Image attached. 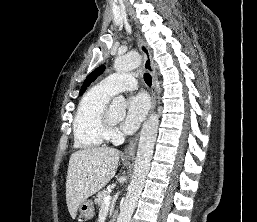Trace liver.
I'll use <instances>...</instances> for the list:
<instances>
[{
  "label": "liver",
  "instance_id": "6515ba94",
  "mask_svg": "<svg viewBox=\"0 0 257 222\" xmlns=\"http://www.w3.org/2000/svg\"><path fill=\"white\" fill-rule=\"evenodd\" d=\"M120 152L114 148L92 147L70 156L66 178V203L73 219L79 205L114 177Z\"/></svg>",
  "mask_w": 257,
  "mask_h": 222
}]
</instances>
